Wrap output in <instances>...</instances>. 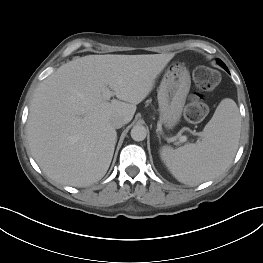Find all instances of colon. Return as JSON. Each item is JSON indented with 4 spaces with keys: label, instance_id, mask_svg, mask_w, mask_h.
<instances>
[{
    "label": "colon",
    "instance_id": "obj_1",
    "mask_svg": "<svg viewBox=\"0 0 263 263\" xmlns=\"http://www.w3.org/2000/svg\"><path fill=\"white\" fill-rule=\"evenodd\" d=\"M194 81L198 92L193 94L185 108V119L191 124L201 122L208 114V106L203 94L214 90L220 82V74L215 69L199 66L195 69Z\"/></svg>",
    "mask_w": 263,
    "mask_h": 263
}]
</instances>
